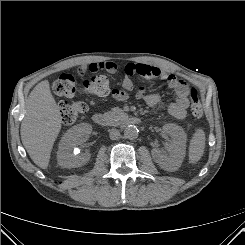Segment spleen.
Listing matches in <instances>:
<instances>
[{
    "mask_svg": "<svg viewBox=\"0 0 245 245\" xmlns=\"http://www.w3.org/2000/svg\"><path fill=\"white\" fill-rule=\"evenodd\" d=\"M205 147V133L197 129L190 141L189 159L191 163L197 162L203 155Z\"/></svg>",
    "mask_w": 245,
    "mask_h": 245,
    "instance_id": "obj_1",
    "label": "spleen"
}]
</instances>
